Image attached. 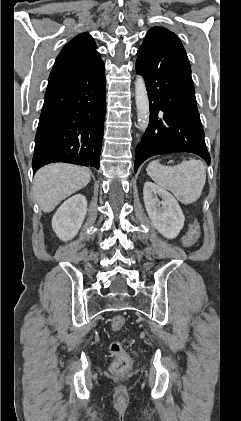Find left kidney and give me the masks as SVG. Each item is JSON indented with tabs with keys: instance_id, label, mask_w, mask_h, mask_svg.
I'll return each instance as SVG.
<instances>
[{
	"instance_id": "5707ae66",
	"label": "left kidney",
	"mask_w": 241,
	"mask_h": 421,
	"mask_svg": "<svg viewBox=\"0 0 241 421\" xmlns=\"http://www.w3.org/2000/svg\"><path fill=\"white\" fill-rule=\"evenodd\" d=\"M143 198L154 227L168 239L177 237L184 226L185 217L176 199L152 182H145Z\"/></svg>"
}]
</instances>
